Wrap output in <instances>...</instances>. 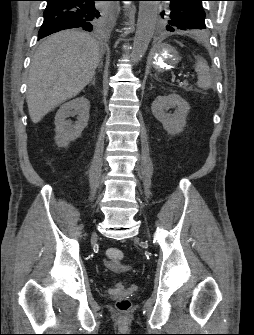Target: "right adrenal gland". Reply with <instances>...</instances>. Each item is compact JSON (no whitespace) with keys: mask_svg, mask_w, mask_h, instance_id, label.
Wrapping results in <instances>:
<instances>
[{"mask_svg":"<svg viewBox=\"0 0 254 335\" xmlns=\"http://www.w3.org/2000/svg\"><path fill=\"white\" fill-rule=\"evenodd\" d=\"M95 80H96V77L94 75L92 81L90 82V84H92L93 86H95Z\"/></svg>","mask_w":254,"mask_h":335,"instance_id":"1","label":"right adrenal gland"}]
</instances>
